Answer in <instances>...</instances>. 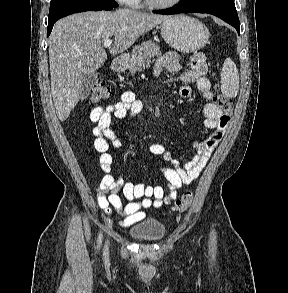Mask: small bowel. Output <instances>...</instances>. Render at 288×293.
I'll use <instances>...</instances> for the list:
<instances>
[{
  "label": "small bowel",
  "mask_w": 288,
  "mask_h": 293,
  "mask_svg": "<svg viewBox=\"0 0 288 293\" xmlns=\"http://www.w3.org/2000/svg\"><path fill=\"white\" fill-rule=\"evenodd\" d=\"M164 68L170 73H179L182 70L180 56L176 52L164 54L157 60L154 74L159 76ZM206 74L207 65L204 55L195 53L188 62V69L173 79L185 84H195L207 101L203 109L204 125L210 130V133L202 141H192V146L196 150L194 156L181 165L162 144L153 143L148 147L151 154L161 157L170 165L169 168L162 170L169 193H165L163 187L153 185L151 182L148 184L133 183L127 181L126 176L116 179L111 174L113 158L109 150L111 147L117 149L122 147L121 140L111 128L112 121L139 114L144 106L142 100L138 99L134 92L125 91L119 101L108 106L95 107L91 111L90 118L96 123L92 130L95 137L93 145L95 150L100 153V167L105 172L97 187L98 205L106 214H110L114 208L120 215L124 216L120 222L121 226L134 225L146 217L145 209L159 208L174 200L177 196V190L181 186L190 184L200 176L221 141L228 127L229 117L217 104ZM179 94L182 98L188 99L191 97L192 91L190 87L183 85L179 89ZM119 193L128 201L127 204L122 203Z\"/></svg>",
  "instance_id": "obj_1"
}]
</instances>
